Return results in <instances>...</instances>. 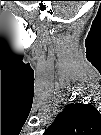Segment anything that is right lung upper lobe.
Returning a JSON list of instances; mask_svg holds the SVG:
<instances>
[{"mask_svg":"<svg viewBox=\"0 0 101 135\" xmlns=\"http://www.w3.org/2000/svg\"><path fill=\"white\" fill-rule=\"evenodd\" d=\"M98 114V111L89 104H68L48 130L61 129L67 132L64 135H96Z\"/></svg>","mask_w":101,"mask_h":135,"instance_id":"1","label":"right lung upper lobe"}]
</instances>
